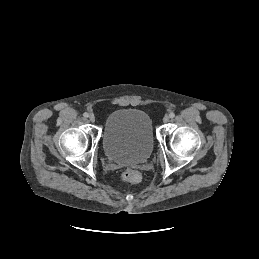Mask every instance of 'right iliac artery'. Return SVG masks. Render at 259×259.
<instances>
[{
	"instance_id": "82829eb1",
	"label": "right iliac artery",
	"mask_w": 259,
	"mask_h": 259,
	"mask_svg": "<svg viewBox=\"0 0 259 259\" xmlns=\"http://www.w3.org/2000/svg\"><path fill=\"white\" fill-rule=\"evenodd\" d=\"M83 116H84L85 118H87V117H89V114H88L87 112H85V113L83 114Z\"/></svg>"
}]
</instances>
